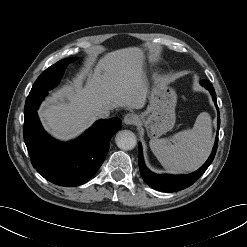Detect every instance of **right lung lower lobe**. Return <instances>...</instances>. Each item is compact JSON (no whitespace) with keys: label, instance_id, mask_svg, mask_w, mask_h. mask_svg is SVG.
Returning a JSON list of instances; mask_svg holds the SVG:
<instances>
[{"label":"right lung lower lobe","instance_id":"obj_1","mask_svg":"<svg viewBox=\"0 0 247 247\" xmlns=\"http://www.w3.org/2000/svg\"><path fill=\"white\" fill-rule=\"evenodd\" d=\"M44 96L27 97L24 108L23 134L32 165L54 184L66 187L84 184L102 165L111 137L121 128V120L117 117L99 120L75 141L59 143L43 131L37 116Z\"/></svg>","mask_w":247,"mask_h":247}]
</instances>
